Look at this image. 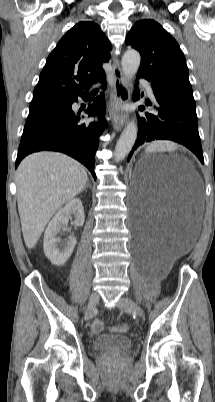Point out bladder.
<instances>
[{
  "label": "bladder",
  "instance_id": "1",
  "mask_svg": "<svg viewBox=\"0 0 215 402\" xmlns=\"http://www.w3.org/2000/svg\"><path fill=\"white\" fill-rule=\"evenodd\" d=\"M92 347L97 352L119 354L128 351L132 341L124 335L102 334L93 339Z\"/></svg>",
  "mask_w": 215,
  "mask_h": 402
}]
</instances>
